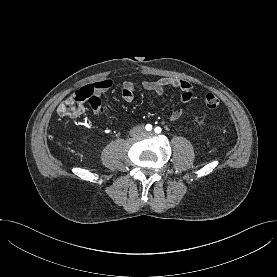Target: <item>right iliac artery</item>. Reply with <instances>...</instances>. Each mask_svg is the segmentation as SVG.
Masks as SVG:
<instances>
[{
	"mask_svg": "<svg viewBox=\"0 0 277 277\" xmlns=\"http://www.w3.org/2000/svg\"><path fill=\"white\" fill-rule=\"evenodd\" d=\"M145 128H146L147 131H151L152 130V125L151 124H147Z\"/></svg>",
	"mask_w": 277,
	"mask_h": 277,
	"instance_id": "obj_1",
	"label": "right iliac artery"
}]
</instances>
